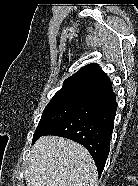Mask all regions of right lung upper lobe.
<instances>
[{
    "mask_svg": "<svg viewBox=\"0 0 138 186\" xmlns=\"http://www.w3.org/2000/svg\"><path fill=\"white\" fill-rule=\"evenodd\" d=\"M68 87L86 88L94 91L112 89L109 77L98 64L86 65L66 79L63 88Z\"/></svg>",
    "mask_w": 138,
    "mask_h": 186,
    "instance_id": "cb5924a9",
    "label": "right lung upper lobe"
}]
</instances>
